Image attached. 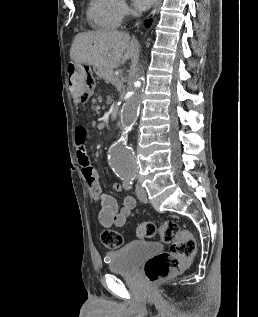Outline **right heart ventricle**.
Here are the masks:
<instances>
[{"mask_svg":"<svg viewBox=\"0 0 258 317\" xmlns=\"http://www.w3.org/2000/svg\"><path fill=\"white\" fill-rule=\"evenodd\" d=\"M123 0H90L87 7L89 23L97 30L116 29L121 21L120 4Z\"/></svg>","mask_w":258,"mask_h":317,"instance_id":"e07e8e85","label":"right heart ventricle"}]
</instances>
